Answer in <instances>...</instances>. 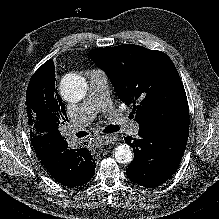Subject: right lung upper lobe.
Returning a JSON list of instances; mask_svg holds the SVG:
<instances>
[{
    "label": "right lung upper lobe",
    "instance_id": "1",
    "mask_svg": "<svg viewBox=\"0 0 219 219\" xmlns=\"http://www.w3.org/2000/svg\"><path fill=\"white\" fill-rule=\"evenodd\" d=\"M41 75L43 76L42 82L44 84L45 90H47L49 92L52 91L53 93H55L57 99L61 101V97L58 95L57 89H55V69H54V63H53L52 59H50L47 62H45L34 73L32 78L33 79H38V77H40Z\"/></svg>",
    "mask_w": 219,
    "mask_h": 219
}]
</instances>
